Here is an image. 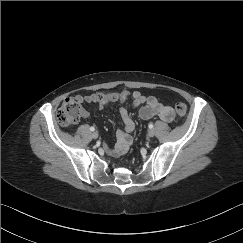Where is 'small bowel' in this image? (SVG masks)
<instances>
[{"instance_id":"obj_1","label":"small bowel","mask_w":243,"mask_h":243,"mask_svg":"<svg viewBox=\"0 0 243 243\" xmlns=\"http://www.w3.org/2000/svg\"><path fill=\"white\" fill-rule=\"evenodd\" d=\"M82 102L89 104H97L104 107L112 102L118 101L122 106L119 108V116L123 122V128L115 133L116 143L114 146L104 145V151L111 156H119L126 152L132 143L131 132L134 129V121L129 110L125 106V102L129 99L133 106H140L138 117L141 120H148L152 117H159L165 122H171L174 119V113L171 107L162 104L156 97L147 96L138 91L129 93L122 91L118 93L116 99H112L109 94H92L88 96H78ZM83 118H88L87 110L82 111Z\"/></svg>"}]
</instances>
